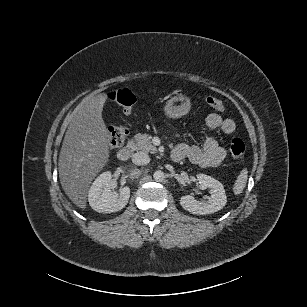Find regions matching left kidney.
I'll use <instances>...</instances> for the list:
<instances>
[{
    "label": "left kidney",
    "instance_id": "left-kidney-1",
    "mask_svg": "<svg viewBox=\"0 0 307 307\" xmlns=\"http://www.w3.org/2000/svg\"><path fill=\"white\" fill-rule=\"evenodd\" d=\"M197 179L202 189H210L211 197L207 202H199L191 195L182 196L181 206L185 210L199 215L214 213L222 209L227 202L223 185L218 180L205 174H198Z\"/></svg>",
    "mask_w": 307,
    "mask_h": 307
}]
</instances>
